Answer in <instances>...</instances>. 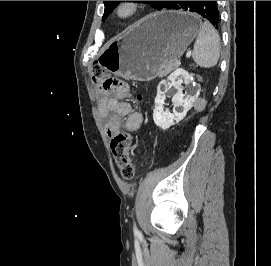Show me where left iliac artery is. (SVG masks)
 Here are the masks:
<instances>
[{
	"label": "left iliac artery",
	"instance_id": "left-iliac-artery-1",
	"mask_svg": "<svg viewBox=\"0 0 271 266\" xmlns=\"http://www.w3.org/2000/svg\"><path fill=\"white\" fill-rule=\"evenodd\" d=\"M133 228H134V233H135V234H139V230L137 229V227H136L135 224H134V227H133Z\"/></svg>",
	"mask_w": 271,
	"mask_h": 266
}]
</instances>
